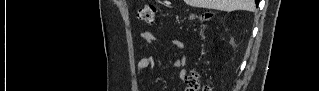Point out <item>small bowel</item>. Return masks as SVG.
<instances>
[{"label": "small bowel", "instance_id": "1", "mask_svg": "<svg viewBox=\"0 0 319 91\" xmlns=\"http://www.w3.org/2000/svg\"><path fill=\"white\" fill-rule=\"evenodd\" d=\"M141 37H142L143 42L147 45H152L156 42V37H155L154 33L150 32V31L143 32L141 34ZM170 45L173 48L180 49V50L185 48L184 42L180 39L171 40ZM186 64H187V58L185 56L178 58L173 62V67H175L176 69L179 70L178 77L181 81H184L186 79V76H187V72L185 70ZM154 65H155L154 57H152V56L143 57L138 62L137 71H138V73L141 74V73L151 69Z\"/></svg>", "mask_w": 319, "mask_h": 91}]
</instances>
